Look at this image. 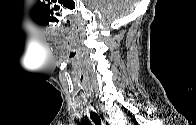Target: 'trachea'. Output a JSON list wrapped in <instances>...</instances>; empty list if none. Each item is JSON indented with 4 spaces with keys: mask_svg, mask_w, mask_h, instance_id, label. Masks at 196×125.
<instances>
[{
    "mask_svg": "<svg viewBox=\"0 0 196 125\" xmlns=\"http://www.w3.org/2000/svg\"><path fill=\"white\" fill-rule=\"evenodd\" d=\"M90 118L94 122L95 125H101V119L95 112H90Z\"/></svg>",
    "mask_w": 196,
    "mask_h": 125,
    "instance_id": "1",
    "label": "trachea"
}]
</instances>
